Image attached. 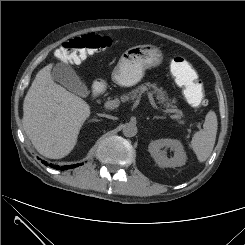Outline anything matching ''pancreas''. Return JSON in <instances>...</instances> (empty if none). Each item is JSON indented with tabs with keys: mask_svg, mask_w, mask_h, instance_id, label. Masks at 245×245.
<instances>
[{
	"mask_svg": "<svg viewBox=\"0 0 245 245\" xmlns=\"http://www.w3.org/2000/svg\"><path fill=\"white\" fill-rule=\"evenodd\" d=\"M149 93L154 95L157 99L158 103L165 108L166 110H169L172 113H181L177 106L173 105V102L168 97L167 93L163 90L162 87H158L156 83H144L139 86H137L135 89L131 90L130 92L121 95V101L126 102L130 100H134L139 98L145 91H148Z\"/></svg>",
	"mask_w": 245,
	"mask_h": 245,
	"instance_id": "1",
	"label": "pancreas"
}]
</instances>
